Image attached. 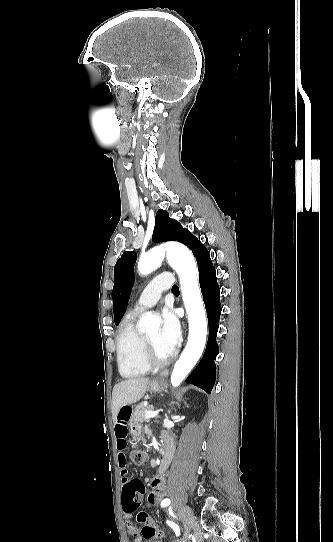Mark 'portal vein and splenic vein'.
Listing matches in <instances>:
<instances>
[{"mask_svg": "<svg viewBox=\"0 0 333 542\" xmlns=\"http://www.w3.org/2000/svg\"><path fill=\"white\" fill-rule=\"evenodd\" d=\"M160 412H164V410H155V412H145L144 418H155V416H159Z\"/></svg>", "mask_w": 333, "mask_h": 542, "instance_id": "18ae733b", "label": "portal vein and splenic vein"}]
</instances>
